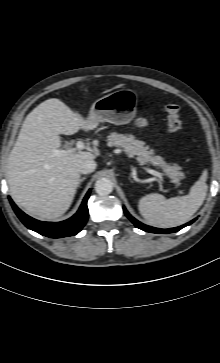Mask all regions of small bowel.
Listing matches in <instances>:
<instances>
[{
    "instance_id": "c3829d8e",
    "label": "small bowel",
    "mask_w": 220,
    "mask_h": 363,
    "mask_svg": "<svg viewBox=\"0 0 220 363\" xmlns=\"http://www.w3.org/2000/svg\"><path fill=\"white\" fill-rule=\"evenodd\" d=\"M137 124H138V126H140V127H144V126L146 125V122H145V120H143V119H138V120H137Z\"/></svg>"
}]
</instances>
